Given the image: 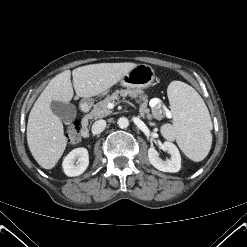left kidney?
<instances>
[{"label": "left kidney", "instance_id": "obj_1", "mask_svg": "<svg viewBox=\"0 0 247 247\" xmlns=\"http://www.w3.org/2000/svg\"><path fill=\"white\" fill-rule=\"evenodd\" d=\"M162 149L170 154L171 158L162 160L154 147L148 149L150 163L158 170L163 172H178L181 168V156L175 144L169 141L163 143Z\"/></svg>", "mask_w": 247, "mask_h": 247}]
</instances>
